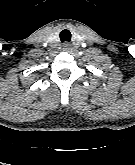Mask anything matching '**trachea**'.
<instances>
[{
    "label": "trachea",
    "instance_id": "3493384b",
    "mask_svg": "<svg viewBox=\"0 0 135 165\" xmlns=\"http://www.w3.org/2000/svg\"><path fill=\"white\" fill-rule=\"evenodd\" d=\"M61 42H70L71 41V32L68 29H64L60 32Z\"/></svg>",
    "mask_w": 135,
    "mask_h": 165
}]
</instances>
